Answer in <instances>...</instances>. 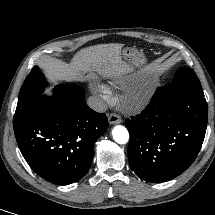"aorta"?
<instances>
[{"mask_svg": "<svg viewBox=\"0 0 215 215\" xmlns=\"http://www.w3.org/2000/svg\"><path fill=\"white\" fill-rule=\"evenodd\" d=\"M113 139L119 144H125L129 140L128 130L121 125H117L112 130Z\"/></svg>", "mask_w": 215, "mask_h": 215, "instance_id": "762f6f07", "label": "aorta"}]
</instances>
